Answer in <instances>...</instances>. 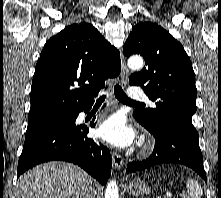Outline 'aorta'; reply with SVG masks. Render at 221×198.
I'll use <instances>...</instances> for the list:
<instances>
[{
  "label": "aorta",
  "instance_id": "762f6f07",
  "mask_svg": "<svg viewBox=\"0 0 221 198\" xmlns=\"http://www.w3.org/2000/svg\"><path fill=\"white\" fill-rule=\"evenodd\" d=\"M131 69H140L143 66V59L140 56H132L128 60ZM105 198H119V190L116 181L108 183L105 191Z\"/></svg>",
  "mask_w": 221,
  "mask_h": 198
}]
</instances>
